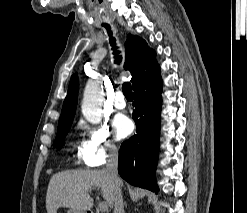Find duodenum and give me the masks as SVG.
<instances>
[{
    "mask_svg": "<svg viewBox=\"0 0 247 213\" xmlns=\"http://www.w3.org/2000/svg\"><path fill=\"white\" fill-rule=\"evenodd\" d=\"M87 213H95L94 211H88Z\"/></svg>",
    "mask_w": 247,
    "mask_h": 213,
    "instance_id": "obj_1",
    "label": "duodenum"
}]
</instances>
